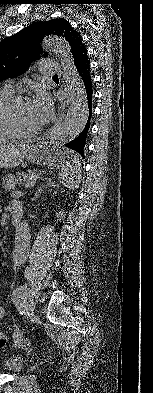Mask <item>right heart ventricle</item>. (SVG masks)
<instances>
[{"label": "right heart ventricle", "instance_id": "obj_1", "mask_svg": "<svg viewBox=\"0 0 153 393\" xmlns=\"http://www.w3.org/2000/svg\"><path fill=\"white\" fill-rule=\"evenodd\" d=\"M13 97V91L5 88L0 91V142L9 137L8 127L5 121V112Z\"/></svg>", "mask_w": 153, "mask_h": 393}]
</instances>
